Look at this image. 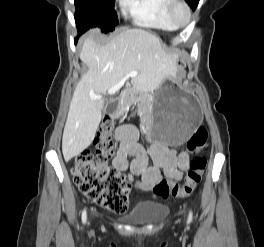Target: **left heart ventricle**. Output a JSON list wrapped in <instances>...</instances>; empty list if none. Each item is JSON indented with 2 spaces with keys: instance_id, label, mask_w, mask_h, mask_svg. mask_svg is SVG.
<instances>
[{
  "instance_id": "1",
  "label": "left heart ventricle",
  "mask_w": 264,
  "mask_h": 247,
  "mask_svg": "<svg viewBox=\"0 0 264 247\" xmlns=\"http://www.w3.org/2000/svg\"><path fill=\"white\" fill-rule=\"evenodd\" d=\"M180 17H181V19H185V15L183 14V13H181V15H180Z\"/></svg>"
}]
</instances>
